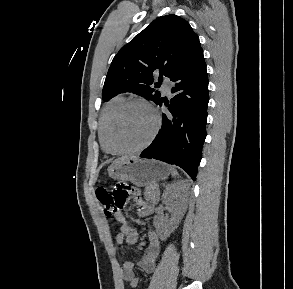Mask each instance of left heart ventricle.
<instances>
[{"label":"left heart ventricle","instance_id":"obj_1","mask_svg":"<svg viewBox=\"0 0 293 289\" xmlns=\"http://www.w3.org/2000/svg\"><path fill=\"white\" fill-rule=\"evenodd\" d=\"M154 128V117L144 105H132L116 120L112 132L113 145L131 149L143 144Z\"/></svg>","mask_w":293,"mask_h":289}]
</instances>
